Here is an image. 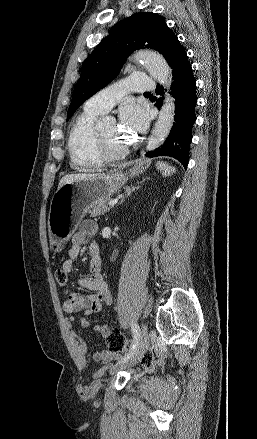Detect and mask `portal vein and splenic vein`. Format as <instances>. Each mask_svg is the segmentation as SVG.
<instances>
[{
  "label": "portal vein and splenic vein",
  "mask_w": 257,
  "mask_h": 439,
  "mask_svg": "<svg viewBox=\"0 0 257 439\" xmlns=\"http://www.w3.org/2000/svg\"><path fill=\"white\" fill-rule=\"evenodd\" d=\"M118 202V199H112L108 202L109 205H114Z\"/></svg>",
  "instance_id": "18ae733b"
}]
</instances>
